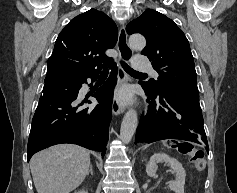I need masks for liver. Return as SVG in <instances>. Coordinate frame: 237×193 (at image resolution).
<instances>
[{"instance_id":"obj_1","label":"liver","mask_w":237,"mask_h":193,"mask_svg":"<svg viewBox=\"0 0 237 193\" xmlns=\"http://www.w3.org/2000/svg\"><path fill=\"white\" fill-rule=\"evenodd\" d=\"M90 155L84 148L59 144L35 154L30 162L37 193H70L89 173Z\"/></svg>"}]
</instances>
